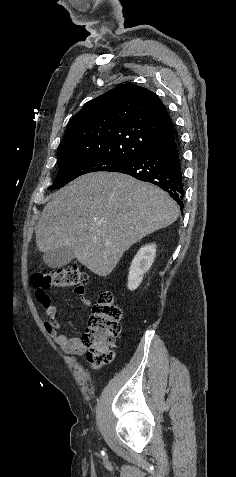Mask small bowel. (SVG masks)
<instances>
[{
  "label": "small bowel",
  "instance_id": "small-bowel-1",
  "mask_svg": "<svg viewBox=\"0 0 236 477\" xmlns=\"http://www.w3.org/2000/svg\"><path fill=\"white\" fill-rule=\"evenodd\" d=\"M77 295L79 296L83 307H88L90 305L89 299L83 293H77ZM36 297L49 317L45 324L47 332L67 354L74 357L81 356L86 350L83 340L67 334H59L61 326L58 319V309L50 296L43 291H38L36 292Z\"/></svg>",
  "mask_w": 236,
  "mask_h": 477
}]
</instances>
